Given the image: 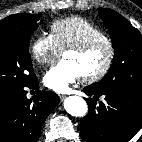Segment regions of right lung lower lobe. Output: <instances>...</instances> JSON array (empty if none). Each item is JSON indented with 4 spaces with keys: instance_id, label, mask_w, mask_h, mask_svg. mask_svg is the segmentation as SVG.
<instances>
[{
    "instance_id": "1",
    "label": "right lung lower lobe",
    "mask_w": 142,
    "mask_h": 142,
    "mask_svg": "<svg viewBox=\"0 0 142 142\" xmlns=\"http://www.w3.org/2000/svg\"><path fill=\"white\" fill-rule=\"evenodd\" d=\"M27 88L36 92L31 99L26 97ZM58 103L57 94L39 90L37 79L0 98V142H37L44 121Z\"/></svg>"
}]
</instances>
